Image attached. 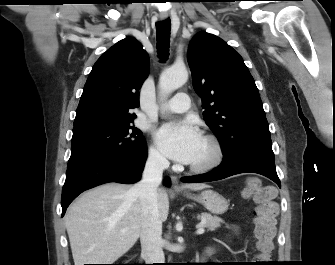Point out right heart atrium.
Listing matches in <instances>:
<instances>
[{
	"label": "right heart atrium",
	"instance_id": "right-heart-atrium-1",
	"mask_svg": "<svg viewBox=\"0 0 335 265\" xmlns=\"http://www.w3.org/2000/svg\"><path fill=\"white\" fill-rule=\"evenodd\" d=\"M148 161L151 165L157 168H164L167 165V160L156 145H152L148 152Z\"/></svg>",
	"mask_w": 335,
	"mask_h": 265
}]
</instances>
